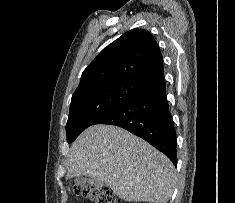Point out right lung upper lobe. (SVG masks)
<instances>
[{
	"mask_svg": "<svg viewBox=\"0 0 235 203\" xmlns=\"http://www.w3.org/2000/svg\"><path fill=\"white\" fill-rule=\"evenodd\" d=\"M163 78L162 54L150 32L132 29L116 39L83 71L76 90L109 81L149 86Z\"/></svg>",
	"mask_w": 235,
	"mask_h": 203,
	"instance_id": "right-lung-upper-lobe-1",
	"label": "right lung upper lobe"
}]
</instances>
